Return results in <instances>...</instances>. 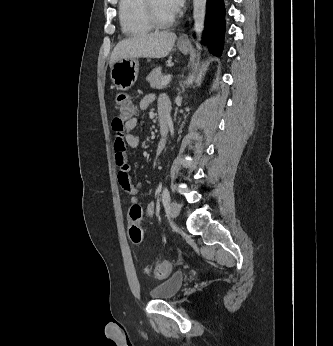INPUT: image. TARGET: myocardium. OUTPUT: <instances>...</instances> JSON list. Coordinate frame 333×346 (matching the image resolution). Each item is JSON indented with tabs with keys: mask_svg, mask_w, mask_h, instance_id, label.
Masks as SVG:
<instances>
[{
	"mask_svg": "<svg viewBox=\"0 0 333 346\" xmlns=\"http://www.w3.org/2000/svg\"><path fill=\"white\" fill-rule=\"evenodd\" d=\"M144 1H145L146 13H147L148 18H149V20L153 26L158 27V28H165V27L170 26L174 22V20H175L174 15H171L168 18H161L157 14L153 0H144Z\"/></svg>",
	"mask_w": 333,
	"mask_h": 346,
	"instance_id": "1",
	"label": "myocardium"
}]
</instances>
